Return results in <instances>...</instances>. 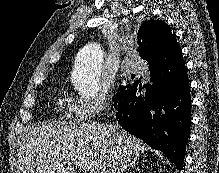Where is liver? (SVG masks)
<instances>
[{"instance_id":"6515ba94","label":"liver","mask_w":219,"mask_h":173,"mask_svg":"<svg viewBox=\"0 0 219 173\" xmlns=\"http://www.w3.org/2000/svg\"><path fill=\"white\" fill-rule=\"evenodd\" d=\"M148 146L107 123L31 126L20 144L18 173H123Z\"/></svg>"}]
</instances>
